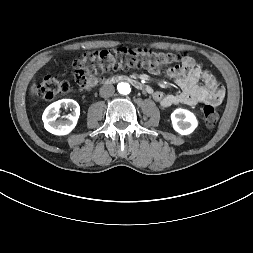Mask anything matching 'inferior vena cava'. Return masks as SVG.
<instances>
[{
    "label": "inferior vena cava",
    "instance_id": "obj_1",
    "mask_svg": "<svg viewBox=\"0 0 253 253\" xmlns=\"http://www.w3.org/2000/svg\"><path fill=\"white\" fill-rule=\"evenodd\" d=\"M115 92L113 85H104L100 88V96L103 98L111 97Z\"/></svg>",
    "mask_w": 253,
    "mask_h": 253
}]
</instances>
